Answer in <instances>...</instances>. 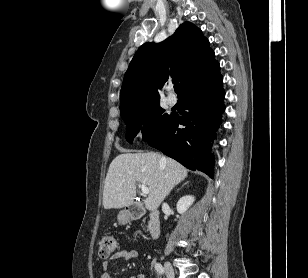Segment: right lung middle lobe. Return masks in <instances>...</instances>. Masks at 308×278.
Masks as SVG:
<instances>
[{
	"mask_svg": "<svg viewBox=\"0 0 308 278\" xmlns=\"http://www.w3.org/2000/svg\"><path fill=\"white\" fill-rule=\"evenodd\" d=\"M173 114H164L158 103H154L122 116L127 125L126 139L129 142L140 132L142 139L149 141L156 137L170 122Z\"/></svg>",
	"mask_w": 308,
	"mask_h": 278,
	"instance_id": "right-lung-middle-lobe-1",
	"label": "right lung middle lobe"
}]
</instances>
